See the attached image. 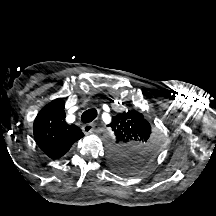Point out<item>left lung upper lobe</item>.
I'll return each mask as SVG.
<instances>
[{"instance_id": "obj_1", "label": "left lung upper lobe", "mask_w": 216, "mask_h": 216, "mask_svg": "<svg viewBox=\"0 0 216 216\" xmlns=\"http://www.w3.org/2000/svg\"><path fill=\"white\" fill-rule=\"evenodd\" d=\"M109 126L116 137L110 151V162L116 172L126 176L137 174L161 155V130L142 113L136 110L119 113L112 117Z\"/></svg>"}]
</instances>
